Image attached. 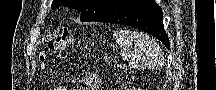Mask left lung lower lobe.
<instances>
[{
  "label": "left lung lower lobe",
  "mask_w": 216,
  "mask_h": 90,
  "mask_svg": "<svg viewBox=\"0 0 216 90\" xmlns=\"http://www.w3.org/2000/svg\"><path fill=\"white\" fill-rule=\"evenodd\" d=\"M94 21L137 27L150 33L169 49V39L163 26V13L154 0H128Z\"/></svg>",
  "instance_id": "0a47b994"
}]
</instances>
